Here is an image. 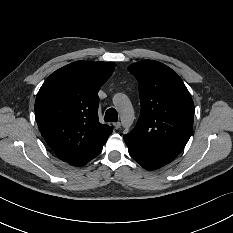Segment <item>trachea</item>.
I'll return each mask as SVG.
<instances>
[{
    "mask_svg": "<svg viewBox=\"0 0 233 233\" xmlns=\"http://www.w3.org/2000/svg\"><path fill=\"white\" fill-rule=\"evenodd\" d=\"M117 120H118L117 111L114 108L107 109L104 116V121L117 122Z\"/></svg>",
    "mask_w": 233,
    "mask_h": 233,
    "instance_id": "1",
    "label": "trachea"
}]
</instances>
